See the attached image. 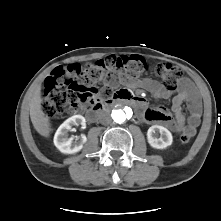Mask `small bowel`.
<instances>
[{"mask_svg":"<svg viewBox=\"0 0 221 221\" xmlns=\"http://www.w3.org/2000/svg\"><path fill=\"white\" fill-rule=\"evenodd\" d=\"M107 87L119 85L144 86L157 98H169L171 90H167L155 80L130 81L123 74H110L105 80ZM183 103L187 104L189 115L186 117L182 111ZM142 118L147 122L161 123L168 126L175 133H189L194 136L201 120L202 103L194 85L188 80L180 82L178 92L172 99V113L163 107L149 108L143 105Z\"/></svg>","mask_w":221,"mask_h":221,"instance_id":"1","label":"small bowel"}]
</instances>
